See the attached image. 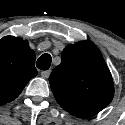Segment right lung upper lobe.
Instances as JSON below:
<instances>
[{
  "instance_id": "1",
  "label": "right lung upper lobe",
  "mask_w": 125,
  "mask_h": 125,
  "mask_svg": "<svg viewBox=\"0 0 125 125\" xmlns=\"http://www.w3.org/2000/svg\"><path fill=\"white\" fill-rule=\"evenodd\" d=\"M37 74L35 53L28 41L13 36L0 40V105L17 98Z\"/></svg>"
}]
</instances>
